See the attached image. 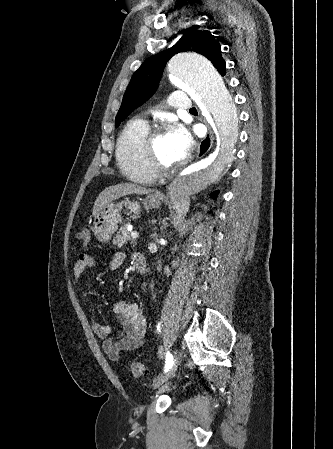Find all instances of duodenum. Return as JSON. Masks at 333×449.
Listing matches in <instances>:
<instances>
[{
    "label": "duodenum",
    "mask_w": 333,
    "mask_h": 449,
    "mask_svg": "<svg viewBox=\"0 0 333 449\" xmlns=\"http://www.w3.org/2000/svg\"><path fill=\"white\" fill-rule=\"evenodd\" d=\"M132 263L138 273L143 274L146 272L147 262L143 254L135 253L132 257Z\"/></svg>",
    "instance_id": "1"
}]
</instances>
